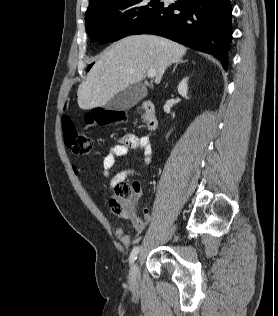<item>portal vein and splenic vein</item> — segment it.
Here are the masks:
<instances>
[{"label": "portal vein and splenic vein", "mask_w": 278, "mask_h": 316, "mask_svg": "<svg viewBox=\"0 0 278 316\" xmlns=\"http://www.w3.org/2000/svg\"><path fill=\"white\" fill-rule=\"evenodd\" d=\"M155 74H156V72H155V70H149L148 72H147V76L149 77V78H154L155 77Z\"/></svg>", "instance_id": "1"}]
</instances>
